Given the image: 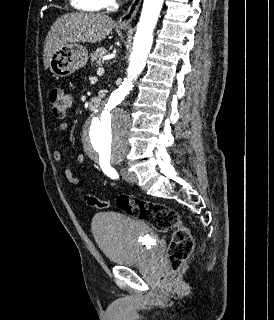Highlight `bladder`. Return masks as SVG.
<instances>
[{"mask_svg": "<svg viewBox=\"0 0 274 320\" xmlns=\"http://www.w3.org/2000/svg\"><path fill=\"white\" fill-rule=\"evenodd\" d=\"M95 242L113 265L131 266L155 255L158 236L147 223L111 212L97 214L91 223Z\"/></svg>", "mask_w": 274, "mask_h": 320, "instance_id": "obj_1", "label": "bladder"}]
</instances>
